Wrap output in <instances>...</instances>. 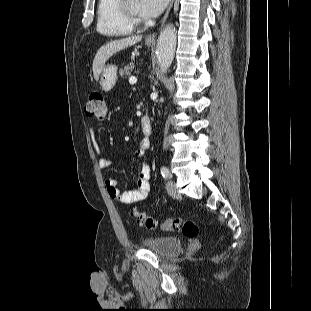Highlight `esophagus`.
<instances>
[{
    "instance_id": "esophagus-1",
    "label": "esophagus",
    "mask_w": 311,
    "mask_h": 311,
    "mask_svg": "<svg viewBox=\"0 0 311 311\" xmlns=\"http://www.w3.org/2000/svg\"><path fill=\"white\" fill-rule=\"evenodd\" d=\"M173 3H174V0H171L170 5L168 6V8H167V10H166V12L164 14V17L162 19L161 27L164 25L165 21L167 20V18L169 16V13H170V10H171V8L173 6ZM156 36H157V33L150 34V35H148L146 37V41H155Z\"/></svg>"
}]
</instances>
